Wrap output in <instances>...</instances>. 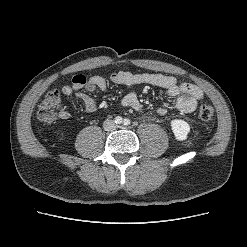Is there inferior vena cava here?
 Returning <instances> with one entry per match:
<instances>
[{
  "instance_id": "inferior-vena-cava-1",
  "label": "inferior vena cava",
  "mask_w": 247,
  "mask_h": 247,
  "mask_svg": "<svg viewBox=\"0 0 247 247\" xmlns=\"http://www.w3.org/2000/svg\"><path fill=\"white\" fill-rule=\"evenodd\" d=\"M103 128L105 131H113L116 129V124L113 120L107 119L103 123Z\"/></svg>"
}]
</instances>
